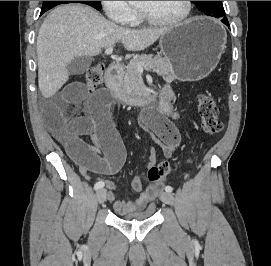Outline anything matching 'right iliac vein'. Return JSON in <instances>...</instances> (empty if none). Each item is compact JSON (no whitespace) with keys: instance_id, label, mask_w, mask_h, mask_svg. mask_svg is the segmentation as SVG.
Segmentation results:
<instances>
[{"instance_id":"63e3f726","label":"right iliac vein","mask_w":271,"mask_h":266,"mask_svg":"<svg viewBox=\"0 0 271 266\" xmlns=\"http://www.w3.org/2000/svg\"><path fill=\"white\" fill-rule=\"evenodd\" d=\"M96 198H97L98 203L100 204L103 203L106 198V189L104 188L99 189L96 193Z\"/></svg>"}]
</instances>
